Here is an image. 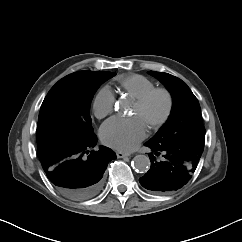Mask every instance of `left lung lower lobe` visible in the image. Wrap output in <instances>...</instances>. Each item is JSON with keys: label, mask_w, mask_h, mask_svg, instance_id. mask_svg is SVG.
<instances>
[{"label": "left lung lower lobe", "mask_w": 242, "mask_h": 242, "mask_svg": "<svg viewBox=\"0 0 242 242\" xmlns=\"http://www.w3.org/2000/svg\"><path fill=\"white\" fill-rule=\"evenodd\" d=\"M145 146L151 148L149 158L150 170L139 179L141 185L151 191L168 192L180 189L195 172L201 154L178 147H168L154 144L150 141ZM161 155V161L156 156Z\"/></svg>", "instance_id": "obj_1"}]
</instances>
